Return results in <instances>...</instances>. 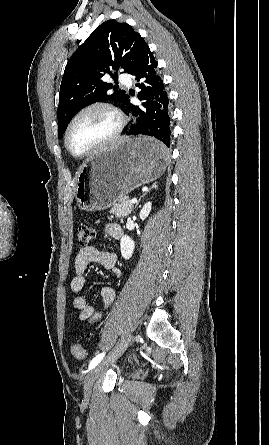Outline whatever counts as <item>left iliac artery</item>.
Here are the masks:
<instances>
[{"instance_id": "obj_1", "label": "left iliac artery", "mask_w": 269, "mask_h": 445, "mask_svg": "<svg viewBox=\"0 0 269 445\" xmlns=\"http://www.w3.org/2000/svg\"><path fill=\"white\" fill-rule=\"evenodd\" d=\"M104 355H105V353H100L97 356H95L89 364V369L90 370L93 369L102 360Z\"/></svg>"}]
</instances>
